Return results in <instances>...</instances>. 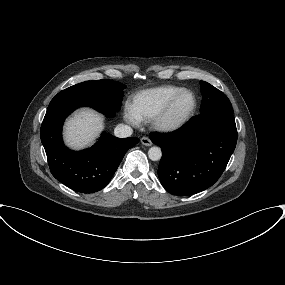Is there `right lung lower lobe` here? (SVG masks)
<instances>
[{
    "label": "right lung lower lobe",
    "mask_w": 285,
    "mask_h": 285,
    "mask_svg": "<svg viewBox=\"0 0 285 285\" xmlns=\"http://www.w3.org/2000/svg\"><path fill=\"white\" fill-rule=\"evenodd\" d=\"M81 106H90L112 117L114 112L102 110L68 95H56L50 102L41 125V141L45 148L52 175L70 189L93 193L104 188L129 148L139 139L117 138L102 133L89 149L72 151L62 141V125L65 118Z\"/></svg>",
    "instance_id": "obj_1"
}]
</instances>
